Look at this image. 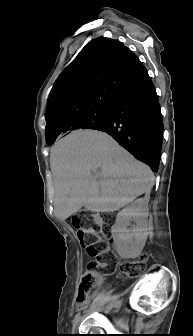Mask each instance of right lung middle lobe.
<instances>
[{
  "mask_svg": "<svg viewBox=\"0 0 193 336\" xmlns=\"http://www.w3.org/2000/svg\"><path fill=\"white\" fill-rule=\"evenodd\" d=\"M109 108L94 110L79 116L74 123V130L77 129H101L107 121ZM52 140H47L48 145H52Z\"/></svg>",
  "mask_w": 193,
  "mask_h": 336,
  "instance_id": "dd1d6c3e",
  "label": "right lung middle lobe"
}]
</instances>
